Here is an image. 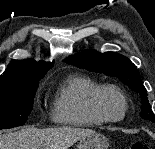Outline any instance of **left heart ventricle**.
Segmentation results:
<instances>
[{"label":"left heart ventricle","mask_w":155,"mask_h":149,"mask_svg":"<svg viewBox=\"0 0 155 149\" xmlns=\"http://www.w3.org/2000/svg\"><path fill=\"white\" fill-rule=\"evenodd\" d=\"M101 104L104 111L111 117H119L122 114L123 102L115 93H104L101 97Z\"/></svg>","instance_id":"obj_1"}]
</instances>
